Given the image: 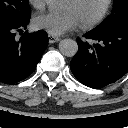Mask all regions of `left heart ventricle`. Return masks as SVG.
Masks as SVG:
<instances>
[{"label": "left heart ventricle", "instance_id": "left-heart-ventricle-1", "mask_svg": "<svg viewBox=\"0 0 128 128\" xmlns=\"http://www.w3.org/2000/svg\"><path fill=\"white\" fill-rule=\"evenodd\" d=\"M104 3L105 0H79L77 2L68 0L65 9L74 12L81 22L95 17L104 6Z\"/></svg>", "mask_w": 128, "mask_h": 128}]
</instances>
